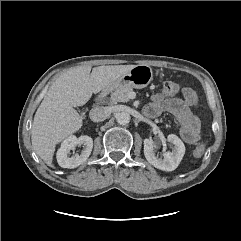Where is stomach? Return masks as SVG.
<instances>
[{"mask_svg":"<svg viewBox=\"0 0 241 241\" xmlns=\"http://www.w3.org/2000/svg\"><path fill=\"white\" fill-rule=\"evenodd\" d=\"M153 80L152 68L148 65H135L128 73L114 81L109 88H145Z\"/></svg>","mask_w":241,"mask_h":241,"instance_id":"stomach-1","label":"stomach"}]
</instances>
